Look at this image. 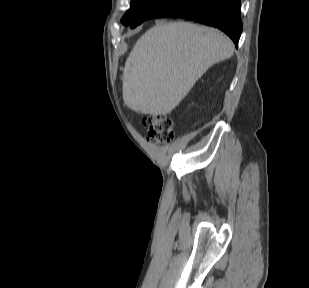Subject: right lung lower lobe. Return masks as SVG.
<instances>
[{"mask_svg":"<svg viewBox=\"0 0 309 288\" xmlns=\"http://www.w3.org/2000/svg\"><path fill=\"white\" fill-rule=\"evenodd\" d=\"M179 17L219 28L238 47L242 32L240 0H171L150 18Z\"/></svg>","mask_w":309,"mask_h":288,"instance_id":"right-lung-lower-lobe-1","label":"right lung lower lobe"}]
</instances>
